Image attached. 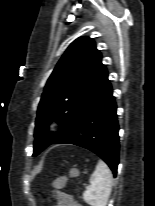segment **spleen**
Wrapping results in <instances>:
<instances>
[{
	"label": "spleen",
	"mask_w": 155,
	"mask_h": 206,
	"mask_svg": "<svg viewBox=\"0 0 155 206\" xmlns=\"http://www.w3.org/2000/svg\"><path fill=\"white\" fill-rule=\"evenodd\" d=\"M90 186L83 193V200L90 206H106L112 191L113 177L108 166L99 160L90 177Z\"/></svg>",
	"instance_id": "obj_1"
}]
</instances>
